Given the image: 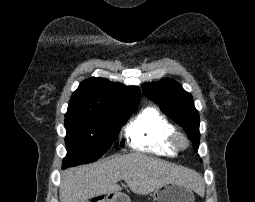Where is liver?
<instances>
[{
  "instance_id": "1",
  "label": "liver",
  "mask_w": 255,
  "mask_h": 202,
  "mask_svg": "<svg viewBox=\"0 0 255 202\" xmlns=\"http://www.w3.org/2000/svg\"><path fill=\"white\" fill-rule=\"evenodd\" d=\"M120 180L140 195L171 182L195 191L202 186L200 175L193 170L132 153L66 170L60 184V202H86L99 195L118 192L122 189L117 184Z\"/></svg>"
}]
</instances>
